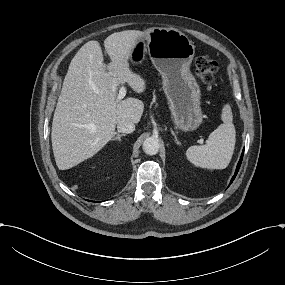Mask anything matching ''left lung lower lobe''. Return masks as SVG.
<instances>
[{"mask_svg": "<svg viewBox=\"0 0 285 285\" xmlns=\"http://www.w3.org/2000/svg\"><path fill=\"white\" fill-rule=\"evenodd\" d=\"M243 154H244V150H243V152H242V154H241V157H240V160H239V162H238V165H237L235 174H234V176L232 177V179H231V181H230V184L233 182V180L235 179V177H236V175H237V173H238V170H239V168H240V165H241V162H242V159H243Z\"/></svg>", "mask_w": 285, "mask_h": 285, "instance_id": "1", "label": "left lung lower lobe"}]
</instances>
